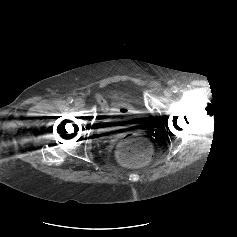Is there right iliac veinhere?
<instances>
[{
	"label": "right iliac vein",
	"mask_w": 237,
	"mask_h": 237,
	"mask_svg": "<svg viewBox=\"0 0 237 237\" xmlns=\"http://www.w3.org/2000/svg\"><path fill=\"white\" fill-rule=\"evenodd\" d=\"M74 105H75L76 108H81V107H83V105H84L83 100L80 99V98L75 99Z\"/></svg>",
	"instance_id": "1"
}]
</instances>
